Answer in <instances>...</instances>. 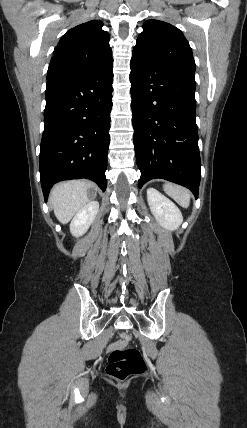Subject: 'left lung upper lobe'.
Segmentation results:
<instances>
[{"instance_id":"obj_1","label":"left lung upper lobe","mask_w":247,"mask_h":428,"mask_svg":"<svg viewBox=\"0 0 247 428\" xmlns=\"http://www.w3.org/2000/svg\"><path fill=\"white\" fill-rule=\"evenodd\" d=\"M133 53L145 55L163 66L195 79V61L183 33L173 25L148 20L143 25Z\"/></svg>"}]
</instances>
